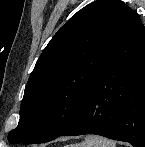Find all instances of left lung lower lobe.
<instances>
[{"label": "left lung lower lobe", "instance_id": "obj_1", "mask_svg": "<svg viewBox=\"0 0 145 147\" xmlns=\"http://www.w3.org/2000/svg\"><path fill=\"white\" fill-rule=\"evenodd\" d=\"M83 134L145 147V28L132 9L78 118L61 136Z\"/></svg>", "mask_w": 145, "mask_h": 147}]
</instances>
